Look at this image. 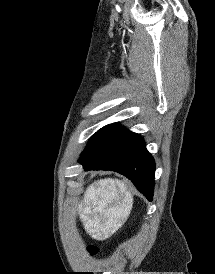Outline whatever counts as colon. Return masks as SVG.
<instances>
[{"mask_svg": "<svg viewBox=\"0 0 215 274\" xmlns=\"http://www.w3.org/2000/svg\"><path fill=\"white\" fill-rule=\"evenodd\" d=\"M88 253L90 255H95L97 253V247L96 246H91L88 248Z\"/></svg>", "mask_w": 215, "mask_h": 274, "instance_id": "5ec220e1", "label": "colon"}]
</instances>
